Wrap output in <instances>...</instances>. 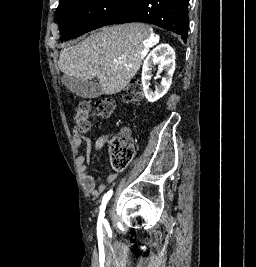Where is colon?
Returning a JSON list of instances; mask_svg holds the SVG:
<instances>
[{"label":"colon","instance_id":"colon-1","mask_svg":"<svg viewBox=\"0 0 256 267\" xmlns=\"http://www.w3.org/2000/svg\"><path fill=\"white\" fill-rule=\"evenodd\" d=\"M143 98V91L138 80H132L128 86L121 91L120 99L125 104L139 103ZM116 107L113 99L101 100L96 105V114L101 119H108L112 116ZM91 103L85 101L76 107L74 123L77 131L85 134L90 130ZM126 132V131H123ZM110 160L112 167L116 169L125 168L134 156V147L130 144L110 141Z\"/></svg>","mask_w":256,"mask_h":267}]
</instances>
